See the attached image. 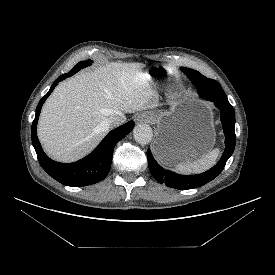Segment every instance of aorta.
Returning <instances> with one entry per match:
<instances>
[{
  "label": "aorta",
  "instance_id": "1",
  "mask_svg": "<svg viewBox=\"0 0 275 275\" xmlns=\"http://www.w3.org/2000/svg\"><path fill=\"white\" fill-rule=\"evenodd\" d=\"M133 136L139 144L146 145L152 140V128L145 123L138 124L133 129Z\"/></svg>",
  "mask_w": 275,
  "mask_h": 275
}]
</instances>
